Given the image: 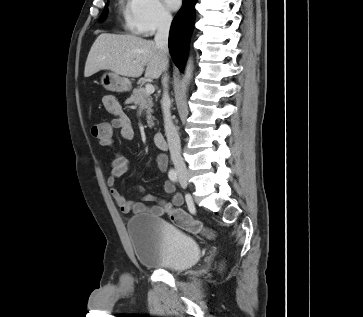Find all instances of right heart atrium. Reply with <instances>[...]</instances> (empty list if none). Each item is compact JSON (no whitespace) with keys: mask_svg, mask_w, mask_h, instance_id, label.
I'll return each mask as SVG.
<instances>
[{"mask_svg":"<svg viewBox=\"0 0 363 317\" xmlns=\"http://www.w3.org/2000/svg\"><path fill=\"white\" fill-rule=\"evenodd\" d=\"M129 27L142 36L167 28L172 16L160 0H129Z\"/></svg>","mask_w":363,"mask_h":317,"instance_id":"1","label":"right heart atrium"}]
</instances>
